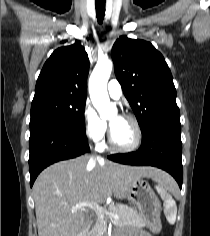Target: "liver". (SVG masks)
Listing matches in <instances>:
<instances>
[{"mask_svg": "<svg viewBox=\"0 0 210 236\" xmlns=\"http://www.w3.org/2000/svg\"><path fill=\"white\" fill-rule=\"evenodd\" d=\"M141 177L173 182L154 167H130L89 156L47 167L33 185L38 236H78L90 206L111 195L123 199L130 183ZM80 203L90 206L72 210Z\"/></svg>", "mask_w": 210, "mask_h": 236, "instance_id": "1", "label": "liver"}]
</instances>
